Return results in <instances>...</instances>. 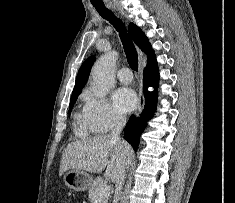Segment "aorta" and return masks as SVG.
<instances>
[{
  "label": "aorta",
  "instance_id": "1",
  "mask_svg": "<svg viewBox=\"0 0 235 203\" xmlns=\"http://www.w3.org/2000/svg\"><path fill=\"white\" fill-rule=\"evenodd\" d=\"M117 60V52L112 51L102 55L92 69V78L95 85L94 93L98 97H104L114 87V69Z\"/></svg>",
  "mask_w": 235,
  "mask_h": 203
}]
</instances>
